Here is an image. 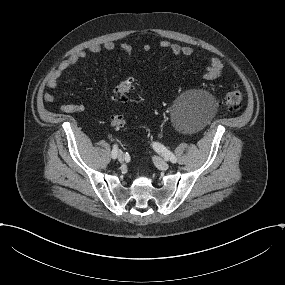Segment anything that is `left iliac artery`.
I'll return each mask as SVG.
<instances>
[{
    "label": "left iliac artery",
    "mask_w": 285,
    "mask_h": 285,
    "mask_svg": "<svg viewBox=\"0 0 285 285\" xmlns=\"http://www.w3.org/2000/svg\"><path fill=\"white\" fill-rule=\"evenodd\" d=\"M153 148L155 151L158 153L162 154L165 158L169 159L172 163L177 162V158L175 157L174 154H172L167 148H165L163 145L159 143H154Z\"/></svg>",
    "instance_id": "1"
}]
</instances>
